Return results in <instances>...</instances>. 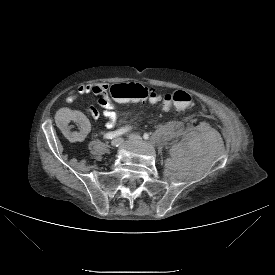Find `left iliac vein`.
Returning <instances> with one entry per match:
<instances>
[{"label":"left iliac vein","mask_w":275,"mask_h":275,"mask_svg":"<svg viewBox=\"0 0 275 275\" xmlns=\"http://www.w3.org/2000/svg\"><path fill=\"white\" fill-rule=\"evenodd\" d=\"M128 137L130 140H134V141H141L142 139L138 134H134V133L129 134Z\"/></svg>","instance_id":"1"}]
</instances>
